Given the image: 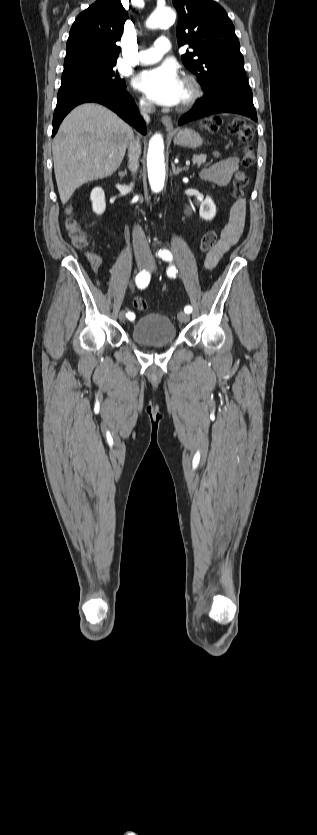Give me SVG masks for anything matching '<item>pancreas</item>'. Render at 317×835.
<instances>
[{"instance_id":"cf45deb5","label":"pancreas","mask_w":317,"mask_h":835,"mask_svg":"<svg viewBox=\"0 0 317 835\" xmlns=\"http://www.w3.org/2000/svg\"><path fill=\"white\" fill-rule=\"evenodd\" d=\"M193 160H194V163H195V164H198V165L200 166L201 164L205 163V161H206V155H205V154H197V155H194V156H193Z\"/></svg>"}]
</instances>
